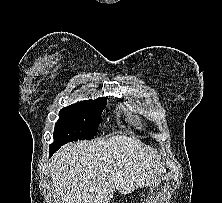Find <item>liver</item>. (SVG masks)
<instances>
[{"label": "liver", "mask_w": 222, "mask_h": 203, "mask_svg": "<svg viewBox=\"0 0 222 203\" xmlns=\"http://www.w3.org/2000/svg\"><path fill=\"white\" fill-rule=\"evenodd\" d=\"M161 167L139 140L117 135L64 145L49 170L57 203H109L115 190L129 194L156 179Z\"/></svg>", "instance_id": "1"}]
</instances>
